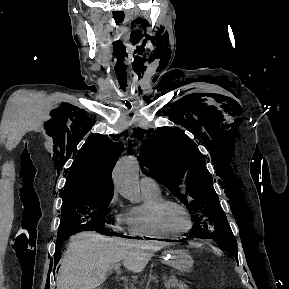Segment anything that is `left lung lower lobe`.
<instances>
[{"label":"left lung lower lobe","instance_id":"1","mask_svg":"<svg viewBox=\"0 0 289 289\" xmlns=\"http://www.w3.org/2000/svg\"><path fill=\"white\" fill-rule=\"evenodd\" d=\"M189 237H193V236H192V233H191V235H190ZM197 237L210 238V236L208 237V236H206V235H199V236H197Z\"/></svg>","mask_w":289,"mask_h":289}]
</instances>
